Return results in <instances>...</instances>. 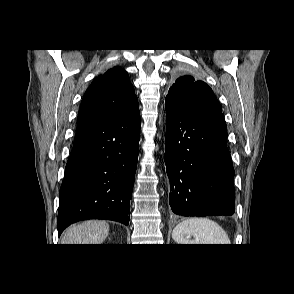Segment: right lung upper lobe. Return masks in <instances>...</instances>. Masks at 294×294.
I'll return each instance as SVG.
<instances>
[{
	"mask_svg": "<svg viewBox=\"0 0 294 294\" xmlns=\"http://www.w3.org/2000/svg\"><path fill=\"white\" fill-rule=\"evenodd\" d=\"M137 101L127 72L114 67L98 76L82 99L78 123L111 117Z\"/></svg>",
	"mask_w": 294,
	"mask_h": 294,
	"instance_id": "right-lung-upper-lobe-1",
	"label": "right lung upper lobe"
}]
</instances>
